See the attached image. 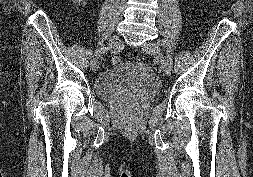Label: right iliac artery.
I'll use <instances>...</instances> for the list:
<instances>
[{
  "instance_id": "obj_1",
  "label": "right iliac artery",
  "mask_w": 253,
  "mask_h": 177,
  "mask_svg": "<svg viewBox=\"0 0 253 177\" xmlns=\"http://www.w3.org/2000/svg\"><path fill=\"white\" fill-rule=\"evenodd\" d=\"M109 48L108 47H102L100 49H97L92 54L93 60H96V58H100L102 53H105Z\"/></svg>"
}]
</instances>
